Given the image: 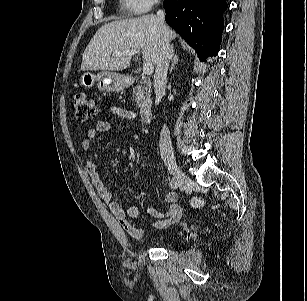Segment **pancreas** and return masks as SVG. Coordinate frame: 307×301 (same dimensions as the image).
<instances>
[{"mask_svg":"<svg viewBox=\"0 0 307 301\" xmlns=\"http://www.w3.org/2000/svg\"><path fill=\"white\" fill-rule=\"evenodd\" d=\"M150 93H151V82L146 77H142V85L134 89V95L136 97V100L143 97L150 98Z\"/></svg>","mask_w":307,"mask_h":301,"instance_id":"pancreas-1","label":"pancreas"}]
</instances>
